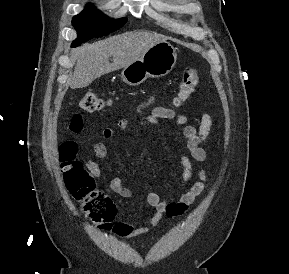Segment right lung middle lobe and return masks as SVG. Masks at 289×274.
I'll use <instances>...</instances> for the list:
<instances>
[{
    "instance_id": "dd1d6c3e",
    "label": "right lung middle lobe",
    "mask_w": 289,
    "mask_h": 274,
    "mask_svg": "<svg viewBox=\"0 0 289 274\" xmlns=\"http://www.w3.org/2000/svg\"><path fill=\"white\" fill-rule=\"evenodd\" d=\"M126 22V18L109 20L92 5H88L72 20L73 26L78 31V38L73 41L72 47H77L92 37L108 35L121 28Z\"/></svg>"
}]
</instances>
